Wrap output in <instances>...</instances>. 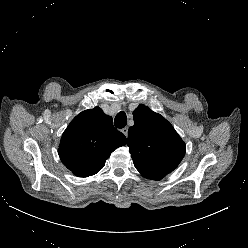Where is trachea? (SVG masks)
<instances>
[{
    "mask_svg": "<svg viewBox=\"0 0 248 248\" xmlns=\"http://www.w3.org/2000/svg\"><path fill=\"white\" fill-rule=\"evenodd\" d=\"M126 124H127V116L125 112L121 111L116 115L114 120V125L117 128H124Z\"/></svg>",
    "mask_w": 248,
    "mask_h": 248,
    "instance_id": "trachea-1",
    "label": "trachea"
}]
</instances>
